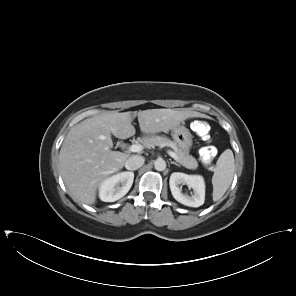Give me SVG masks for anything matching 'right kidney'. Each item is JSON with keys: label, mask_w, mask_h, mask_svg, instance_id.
<instances>
[{"label": "right kidney", "mask_w": 296, "mask_h": 296, "mask_svg": "<svg viewBox=\"0 0 296 296\" xmlns=\"http://www.w3.org/2000/svg\"><path fill=\"white\" fill-rule=\"evenodd\" d=\"M134 180L133 172H120L105 179L99 187V198L104 202H115L125 196ZM121 184V186H119Z\"/></svg>", "instance_id": "ca27d5eb"}]
</instances>
